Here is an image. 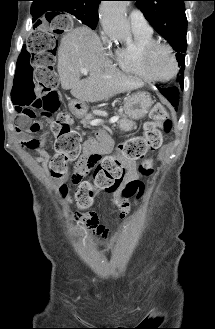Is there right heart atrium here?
I'll use <instances>...</instances> for the list:
<instances>
[{"mask_svg":"<svg viewBox=\"0 0 215 329\" xmlns=\"http://www.w3.org/2000/svg\"><path fill=\"white\" fill-rule=\"evenodd\" d=\"M102 41H103L105 44L109 43V39H108V37H107L104 33H102Z\"/></svg>","mask_w":215,"mask_h":329,"instance_id":"obj_1","label":"right heart atrium"}]
</instances>
